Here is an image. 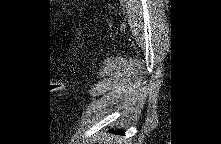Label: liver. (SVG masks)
Instances as JSON below:
<instances>
[{
	"label": "liver",
	"mask_w": 221,
	"mask_h": 144,
	"mask_svg": "<svg viewBox=\"0 0 221 144\" xmlns=\"http://www.w3.org/2000/svg\"><path fill=\"white\" fill-rule=\"evenodd\" d=\"M109 142V144H117L118 141V137H114V141H107V143Z\"/></svg>",
	"instance_id": "obj_1"
}]
</instances>
